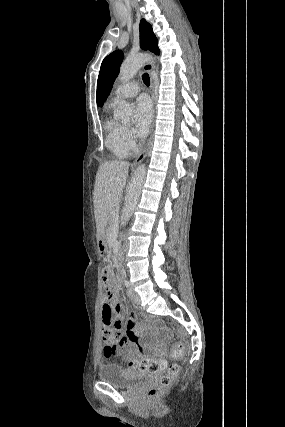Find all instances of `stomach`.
<instances>
[{
	"mask_svg": "<svg viewBox=\"0 0 285 427\" xmlns=\"http://www.w3.org/2000/svg\"><path fill=\"white\" fill-rule=\"evenodd\" d=\"M97 247H98L99 252L102 255H106L108 253V250H109L108 241H107V237L105 235H101L99 237L98 242H97Z\"/></svg>",
	"mask_w": 285,
	"mask_h": 427,
	"instance_id": "1",
	"label": "stomach"
}]
</instances>
